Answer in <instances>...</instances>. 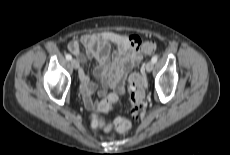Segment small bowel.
Listing matches in <instances>:
<instances>
[{
    "mask_svg": "<svg viewBox=\"0 0 230 155\" xmlns=\"http://www.w3.org/2000/svg\"><path fill=\"white\" fill-rule=\"evenodd\" d=\"M140 41L142 40L137 36L111 31L89 33L70 41L68 49L81 65L79 71L81 91L84 104L88 109L108 112L111 109L109 99L114 97L117 100V93L122 94L125 91L124 78L140 62L144 53L139 45ZM81 46L85 48L88 58L98 62L93 72L94 76L101 81L104 88L110 87L116 92L99 102L93 101L95 85L82 69L85 56ZM112 46L115 50L111 53ZM100 94L104 95L105 90Z\"/></svg>",
    "mask_w": 230,
    "mask_h": 155,
    "instance_id": "small-bowel-1",
    "label": "small bowel"
}]
</instances>
